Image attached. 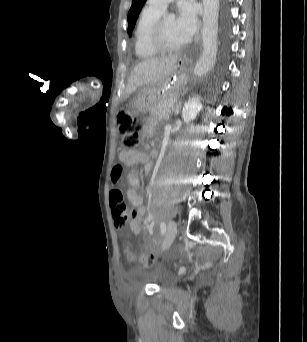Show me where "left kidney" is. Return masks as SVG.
I'll list each match as a JSON object with an SVG mask.
<instances>
[{"label": "left kidney", "instance_id": "left-kidney-1", "mask_svg": "<svg viewBox=\"0 0 307 342\" xmlns=\"http://www.w3.org/2000/svg\"><path fill=\"white\" fill-rule=\"evenodd\" d=\"M202 104L198 98H190L188 102H185L184 108L182 110V118L185 124H190L193 122L195 118H197V114L201 112Z\"/></svg>", "mask_w": 307, "mask_h": 342}]
</instances>
